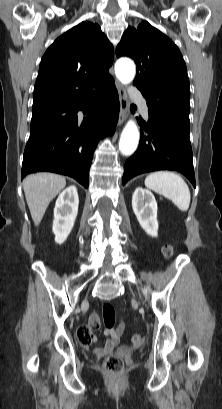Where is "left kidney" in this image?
I'll use <instances>...</instances> for the list:
<instances>
[{
	"label": "left kidney",
	"instance_id": "left-kidney-1",
	"mask_svg": "<svg viewBox=\"0 0 222 409\" xmlns=\"http://www.w3.org/2000/svg\"><path fill=\"white\" fill-rule=\"evenodd\" d=\"M133 212L143 230L150 236L158 234L157 203L151 191L136 188L132 197Z\"/></svg>",
	"mask_w": 222,
	"mask_h": 409
}]
</instances>
